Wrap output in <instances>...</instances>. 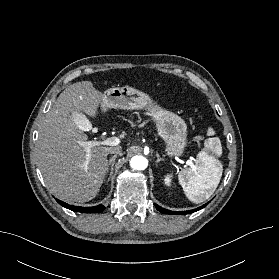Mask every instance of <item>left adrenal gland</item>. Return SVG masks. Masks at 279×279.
Masks as SVG:
<instances>
[{
    "mask_svg": "<svg viewBox=\"0 0 279 279\" xmlns=\"http://www.w3.org/2000/svg\"><path fill=\"white\" fill-rule=\"evenodd\" d=\"M156 157H157L156 166H158V163H159L160 161H164V159H162L158 153H156Z\"/></svg>",
    "mask_w": 279,
    "mask_h": 279,
    "instance_id": "1",
    "label": "left adrenal gland"
}]
</instances>
